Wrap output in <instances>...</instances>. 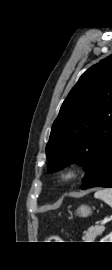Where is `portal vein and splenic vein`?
<instances>
[{
    "label": "portal vein and splenic vein",
    "instance_id": "1",
    "mask_svg": "<svg viewBox=\"0 0 112 270\" xmlns=\"http://www.w3.org/2000/svg\"><path fill=\"white\" fill-rule=\"evenodd\" d=\"M112 220V216L110 218L105 217L102 221H101V225H105L106 223H108L109 221Z\"/></svg>",
    "mask_w": 112,
    "mask_h": 270
}]
</instances>
